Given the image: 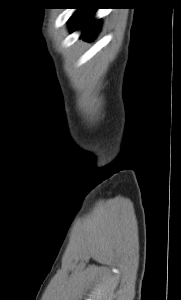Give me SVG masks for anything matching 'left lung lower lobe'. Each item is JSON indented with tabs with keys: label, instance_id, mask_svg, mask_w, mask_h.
I'll return each instance as SVG.
<instances>
[{
	"label": "left lung lower lobe",
	"instance_id": "left-lung-lower-lobe-1",
	"mask_svg": "<svg viewBox=\"0 0 181 300\" xmlns=\"http://www.w3.org/2000/svg\"><path fill=\"white\" fill-rule=\"evenodd\" d=\"M79 10L70 18L69 24L71 30L74 31L79 27H83L85 30L81 35L84 40H90L99 31L100 22L93 21L92 16L95 12V7H80Z\"/></svg>",
	"mask_w": 181,
	"mask_h": 300
}]
</instances>
